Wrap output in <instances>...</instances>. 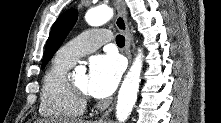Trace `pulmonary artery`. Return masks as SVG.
<instances>
[{"instance_id": "obj_1", "label": "pulmonary artery", "mask_w": 221, "mask_h": 123, "mask_svg": "<svg viewBox=\"0 0 221 123\" xmlns=\"http://www.w3.org/2000/svg\"><path fill=\"white\" fill-rule=\"evenodd\" d=\"M110 40V33L105 29L88 30L64 45L58 51L57 56L74 64L78 58L97 50L101 45Z\"/></svg>"}]
</instances>
